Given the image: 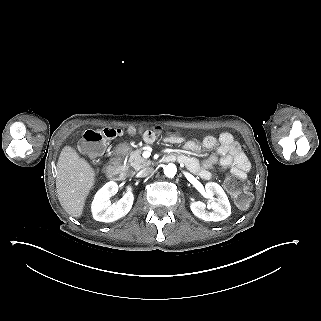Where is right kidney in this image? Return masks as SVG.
Here are the masks:
<instances>
[{
  "label": "right kidney",
  "mask_w": 321,
  "mask_h": 321,
  "mask_svg": "<svg viewBox=\"0 0 321 321\" xmlns=\"http://www.w3.org/2000/svg\"><path fill=\"white\" fill-rule=\"evenodd\" d=\"M118 192V185L114 181L107 182L95 194L91 205L93 218L101 222H113L125 216L133 205L134 196L132 188L127 187V192L116 203L111 204L109 198Z\"/></svg>",
  "instance_id": "ca27d5eb"
}]
</instances>
